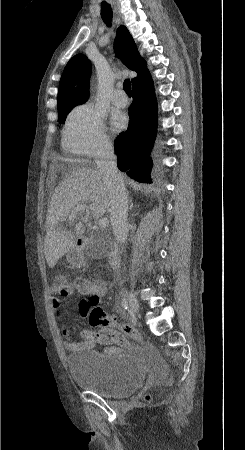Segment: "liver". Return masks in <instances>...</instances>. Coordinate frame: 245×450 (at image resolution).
<instances>
[{
  "instance_id": "liver-1",
  "label": "liver",
  "mask_w": 245,
  "mask_h": 450,
  "mask_svg": "<svg viewBox=\"0 0 245 450\" xmlns=\"http://www.w3.org/2000/svg\"><path fill=\"white\" fill-rule=\"evenodd\" d=\"M79 205L87 206L94 218H101L110 212V200L102 176L91 167H81L70 172L58 184L51 197L44 239L45 258L50 268L74 247L76 237L85 230L84 223L88 220L89 213L80 215L74 232L61 225Z\"/></svg>"
}]
</instances>
